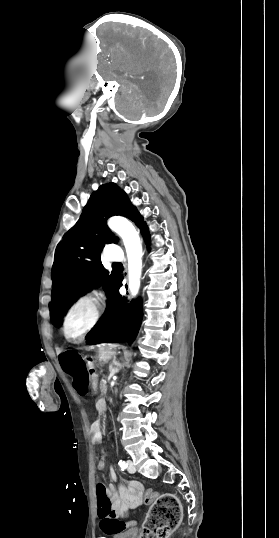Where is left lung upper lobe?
<instances>
[{"label": "left lung upper lobe", "instance_id": "1", "mask_svg": "<svg viewBox=\"0 0 279 538\" xmlns=\"http://www.w3.org/2000/svg\"><path fill=\"white\" fill-rule=\"evenodd\" d=\"M113 215L129 218L141 231L147 226L127 195L114 183L105 184L90 196L79 220L55 251L53 301L49 305L53 323L59 324L71 304L95 286L106 292L108 307L88 336L101 329L116 308L113 294L119 274L109 273L100 260L104 245L118 240L106 225Z\"/></svg>", "mask_w": 279, "mask_h": 538}]
</instances>
